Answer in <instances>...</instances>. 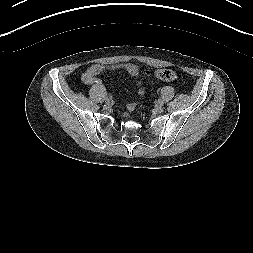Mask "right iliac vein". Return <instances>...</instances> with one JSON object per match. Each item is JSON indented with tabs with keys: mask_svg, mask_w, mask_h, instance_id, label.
<instances>
[{
	"mask_svg": "<svg viewBox=\"0 0 253 253\" xmlns=\"http://www.w3.org/2000/svg\"><path fill=\"white\" fill-rule=\"evenodd\" d=\"M106 103H110V99H106Z\"/></svg>",
	"mask_w": 253,
	"mask_h": 253,
	"instance_id": "right-iliac-vein-1",
	"label": "right iliac vein"
}]
</instances>
